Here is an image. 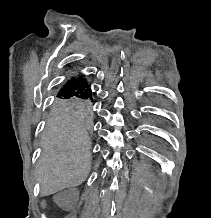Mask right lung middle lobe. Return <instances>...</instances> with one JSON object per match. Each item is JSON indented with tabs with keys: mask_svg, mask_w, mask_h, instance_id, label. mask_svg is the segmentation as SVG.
<instances>
[{
	"mask_svg": "<svg viewBox=\"0 0 211 218\" xmlns=\"http://www.w3.org/2000/svg\"><path fill=\"white\" fill-rule=\"evenodd\" d=\"M93 100L84 98H56L52 104V108L57 112H74L84 111L89 112L92 110Z\"/></svg>",
	"mask_w": 211,
	"mask_h": 218,
	"instance_id": "dd1d6c3e",
	"label": "right lung middle lobe"
}]
</instances>
